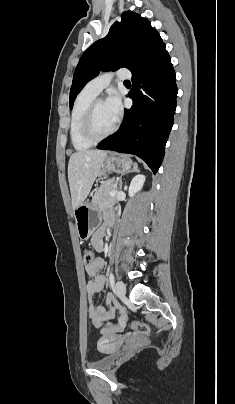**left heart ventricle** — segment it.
Wrapping results in <instances>:
<instances>
[{"label": "left heart ventricle", "instance_id": "obj_1", "mask_svg": "<svg viewBox=\"0 0 235 404\" xmlns=\"http://www.w3.org/2000/svg\"><path fill=\"white\" fill-rule=\"evenodd\" d=\"M115 123V120L109 114L105 103L99 102L95 111V132L98 135L106 133Z\"/></svg>", "mask_w": 235, "mask_h": 404}]
</instances>
